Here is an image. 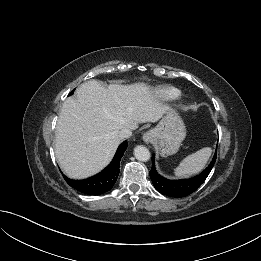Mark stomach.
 Segmentation results:
<instances>
[{
	"label": "stomach",
	"instance_id": "1",
	"mask_svg": "<svg viewBox=\"0 0 261 261\" xmlns=\"http://www.w3.org/2000/svg\"><path fill=\"white\" fill-rule=\"evenodd\" d=\"M152 143L161 156L175 154L186 136L183 120L173 109H168L159 124L151 130Z\"/></svg>",
	"mask_w": 261,
	"mask_h": 261
}]
</instances>
